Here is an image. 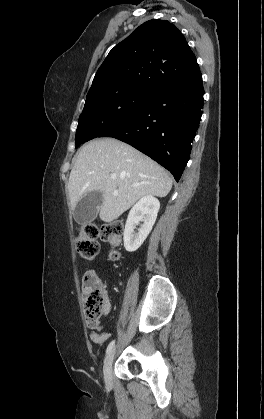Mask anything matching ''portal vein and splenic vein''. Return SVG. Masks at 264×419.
<instances>
[{"instance_id":"portal-vein-and-splenic-vein-1","label":"portal vein and splenic vein","mask_w":264,"mask_h":419,"mask_svg":"<svg viewBox=\"0 0 264 419\" xmlns=\"http://www.w3.org/2000/svg\"><path fill=\"white\" fill-rule=\"evenodd\" d=\"M116 178V176L115 175H111V179H115Z\"/></svg>"}]
</instances>
